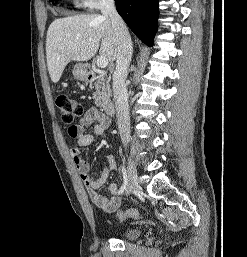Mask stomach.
<instances>
[{
  "label": "stomach",
  "mask_w": 247,
  "mask_h": 257,
  "mask_svg": "<svg viewBox=\"0 0 247 257\" xmlns=\"http://www.w3.org/2000/svg\"><path fill=\"white\" fill-rule=\"evenodd\" d=\"M74 78L80 81H85L88 78V66L83 63H78L73 69Z\"/></svg>",
  "instance_id": "0dacf381"
}]
</instances>
